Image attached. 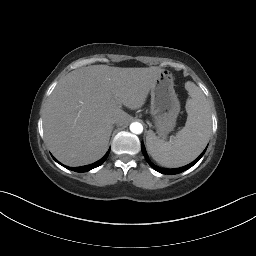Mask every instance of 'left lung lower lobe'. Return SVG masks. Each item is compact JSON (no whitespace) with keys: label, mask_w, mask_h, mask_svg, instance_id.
<instances>
[{"label":"left lung lower lobe","mask_w":256,"mask_h":256,"mask_svg":"<svg viewBox=\"0 0 256 256\" xmlns=\"http://www.w3.org/2000/svg\"><path fill=\"white\" fill-rule=\"evenodd\" d=\"M141 150H142V153H143L144 157L146 158L148 164H149L153 169H155L156 171H158V172H160V173H162V174H168V175L178 174V173H181V172L187 170L188 168H190L191 166H193L195 163H197V162L200 160V158L204 155V153H205V151H206V149H205V150L200 154V156H199L196 160H194L192 163H190V164H188V165H186V166H184V167H180V168H176V169H165V168H160V167H158V166L152 164V163L149 161V158H148V155H147V153H146V150H145V147H144V144H143V143H141Z\"/></svg>","instance_id":"0a47b994"}]
</instances>
